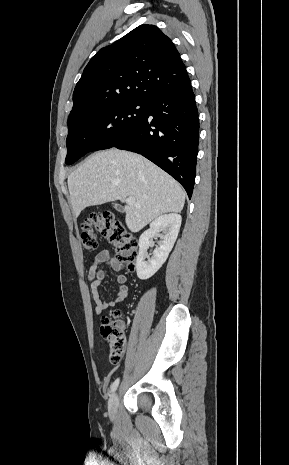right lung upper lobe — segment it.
Masks as SVG:
<instances>
[{
  "mask_svg": "<svg viewBox=\"0 0 289 465\" xmlns=\"http://www.w3.org/2000/svg\"><path fill=\"white\" fill-rule=\"evenodd\" d=\"M189 83L186 67L171 39L154 25H140L91 58L73 93L68 129L83 119L90 105L148 101Z\"/></svg>",
  "mask_w": 289,
  "mask_h": 465,
  "instance_id": "cb5924a9",
  "label": "right lung upper lobe"
}]
</instances>
